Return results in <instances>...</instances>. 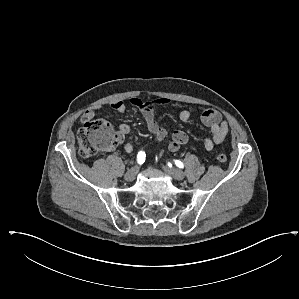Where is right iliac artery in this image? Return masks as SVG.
Listing matches in <instances>:
<instances>
[{
    "label": "right iliac artery",
    "instance_id": "1",
    "mask_svg": "<svg viewBox=\"0 0 299 299\" xmlns=\"http://www.w3.org/2000/svg\"><path fill=\"white\" fill-rule=\"evenodd\" d=\"M145 157H146V155H145L144 151L138 152V155H137L138 164H140V165L143 164L145 162Z\"/></svg>",
    "mask_w": 299,
    "mask_h": 299
}]
</instances>
